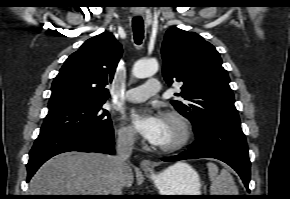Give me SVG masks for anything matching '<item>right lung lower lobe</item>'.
<instances>
[{
    "mask_svg": "<svg viewBox=\"0 0 290 199\" xmlns=\"http://www.w3.org/2000/svg\"><path fill=\"white\" fill-rule=\"evenodd\" d=\"M113 128L80 129L70 132L39 135L27 164V181L51 157L69 151L114 153Z\"/></svg>",
    "mask_w": 290,
    "mask_h": 199,
    "instance_id": "98d812e1",
    "label": "right lung lower lobe"
}]
</instances>
